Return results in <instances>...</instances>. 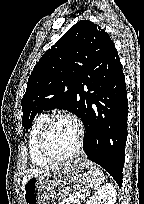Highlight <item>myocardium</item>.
I'll return each mask as SVG.
<instances>
[{
  "mask_svg": "<svg viewBox=\"0 0 144 204\" xmlns=\"http://www.w3.org/2000/svg\"><path fill=\"white\" fill-rule=\"evenodd\" d=\"M60 119H66V120L73 122L76 126L77 135H78V140H77V144H76L74 151L66 156L53 155L48 150L47 145H46L47 135H48V132L51 126L56 120H60ZM84 138H85L84 126L81 120L77 116L70 114V113H55V114L48 116L43 127L41 128V131L38 137V142H37L38 150L40 154L42 155V157H44L50 162L69 161V160L76 158L81 153L83 149V145H84Z\"/></svg>",
  "mask_w": 144,
  "mask_h": 204,
  "instance_id": "f54148a6",
  "label": "myocardium"
}]
</instances>
